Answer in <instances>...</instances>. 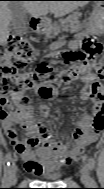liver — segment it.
Masks as SVG:
<instances>
[{"label": "liver", "mask_w": 104, "mask_h": 189, "mask_svg": "<svg viewBox=\"0 0 104 189\" xmlns=\"http://www.w3.org/2000/svg\"><path fill=\"white\" fill-rule=\"evenodd\" d=\"M26 12L33 17L46 15L48 11L55 17H62L72 10L86 4L85 1H23L21 2ZM9 1H1L0 4V42L6 43L9 36V24L12 20V13L9 9Z\"/></svg>", "instance_id": "obj_1"}]
</instances>
